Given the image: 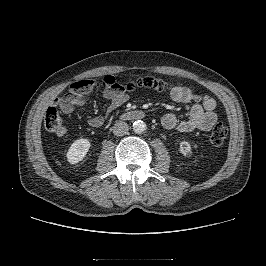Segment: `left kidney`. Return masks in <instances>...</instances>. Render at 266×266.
<instances>
[{
  "label": "left kidney",
  "instance_id": "5707ae66",
  "mask_svg": "<svg viewBox=\"0 0 266 266\" xmlns=\"http://www.w3.org/2000/svg\"><path fill=\"white\" fill-rule=\"evenodd\" d=\"M180 152L186 156L191 152L190 144L186 141L180 142Z\"/></svg>",
  "mask_w": 266,
  "mask_h": 266
}]
</instances>
